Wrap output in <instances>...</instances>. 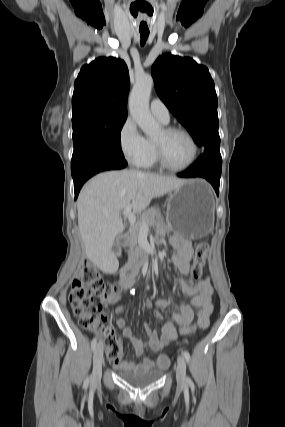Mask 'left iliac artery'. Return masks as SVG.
<instances>
[{"label": "left iliac artery", "instance_id": "left-iliac-artery-1", "mask_svg": "<svg viewBox=\"0 0 285 427\" xmlns=\"http://www.w3.org/2000/svg\"><path fill=\"white\" fill-rule=\"evenodd\" d=\"M183 355H184V357H185V359H186L187 363H189V362H190V354H189V352H188L187 350H185V351L183 352ZM187 382H188L189 384H191V383H192V381H191V379H190L189 377H187Z\"/></svg>", "mask_w": 285, "mask_h": 427}]
</instances>
